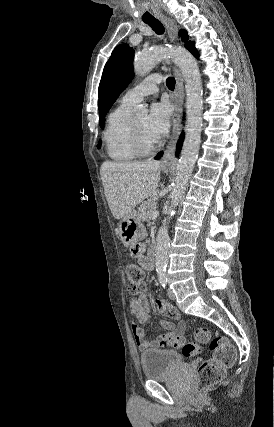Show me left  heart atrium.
Here are the masks:
<instances>
[{"label":"left heart atrium","instance_id":"left-heart-atrium-1","mask_svg":"<svg viewBox=\"0 0 274 427\" xmlns=\"http://www.w3.org/2000/svg\"><path fill=\"white\" fill-rule=\"evenodd\" d=\"M171 109L166 102L154 103L149 112L147 130L159 140L167 134L170 128Z\"/></svg>","mask_w":274,"mask_h":427}]
</instances>
